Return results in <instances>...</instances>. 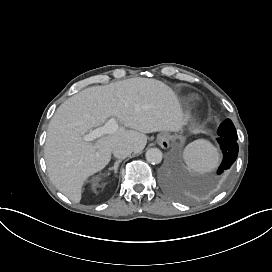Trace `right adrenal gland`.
I'll use <instances>...</instances> for the list:
<instances>
[{
	"label": "right adrenal gland",
	"instance_id": "2a0ac1e0",
	"mask_svg": "<svg viewBox=\"0 0 272 272\" xmlns=\"http://www.w3.org/2000/svg\"><path fill=\"white\" fill-rule=\"evenodd\" d=\"M122 160H117V162L114 164V167L110 168L109 171H113L114 174L117 173V169H118V163L121 162Z\"/></svg>",
	"mask_w": 272,
	"mask_h": 272
}]
</instances>
